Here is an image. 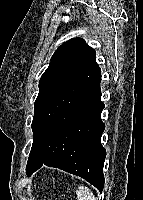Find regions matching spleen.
I'll return each instance as SVG.
<instances>
[{"mask_svg": "<svg viewBox=\"0 0 143 200\" xmlns=\"http://www.w3.org/2000/svg\"><path fill=\"white\" fill-rule=\"evenodd\" d=\"M76 194L78 200H97L91 189L86 186H79Z\"/></svg>", "mask_w": 143, "mask_h": 200, "instance_id": "obj_1", "label": "spleen"}]
</instances>
